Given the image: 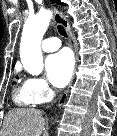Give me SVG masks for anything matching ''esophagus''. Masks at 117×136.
<instances>
[{"label":"esophagus","mask_w":117,"mask_h":136,"mask_svg":"<svg viewBox=\"0 0 117 136\" xmlns=\"http://www.w3.org/2000/svg\"><path fill=\"white\" fill-rule=\"evenodd\" d=\"M53 10V17L54 20L58 23L61 24L65 30L67 31V33L69 34V36L72 35L71 29H70V24L69 22L62 16V14L59 12V10L57 8H55L54 6L52 7ZM72 81L68 87V89L62 94V96L60 97L57 106H61L63 104V102L66 100L68 93H69V88L71 87Z\"/></svg>","instance_id":"34e87169"}]
</instances>
